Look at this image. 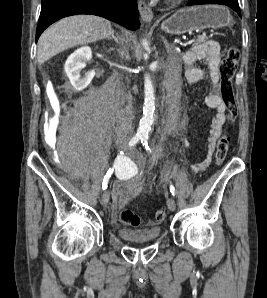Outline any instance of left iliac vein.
I'll return each mask as SVG.
<instances>
[{
    "instance_id": "4c4485c4",
    "label": "left iliac vein",
    "mask_w": 267,
    "mask_h": 298,
    "mask_svg": "<svg viewBox=\"0 0 267 298\" xmlns=\"http://www.w3.org/2000/svg\"><path fill=\"white\" fill-rule=\"evenodd\" d=\"M167 206L171 211L176 209V202L173 197L167 199Z\"/></svg>"
}]
</instances>
